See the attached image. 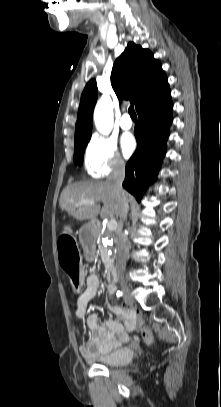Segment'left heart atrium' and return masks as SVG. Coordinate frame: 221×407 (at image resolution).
<instances>
[{
	"instance_id": "1",
	"label": "left heart atrium",
	"mask_w": 221,
	"mask_h": 407,
	"mask_svg": "<svg viewBox=\"0 0 221 407\" xmlns=\"http://www.w3.org/2000/svg\"><path fill=\"white\" fill-rule=\"evenodd\" d=\"M121 147L125 156H130L136 148V142L131 134H124L121 139Z\"/></svg>"
}]
</instances>
